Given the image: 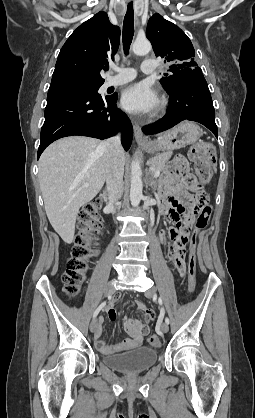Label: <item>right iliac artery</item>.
<instances>
[{"label": "right iliac artery", "instance_id": "obj_1", "mask_svg": "<svg viewBox=\"0 0 255 418\" xmlns=\"http://www.w3.org/2000/svg\"><path fill=\"white\" fill-rule=\"evenodd\" d=\"M106 305V302L101 303L98 308L94 311L93 313V319H95L97 317V315L99 314L100 310Z\"/></svg>", "mask_w": 255, "mask_h": 418}]
</instances>
